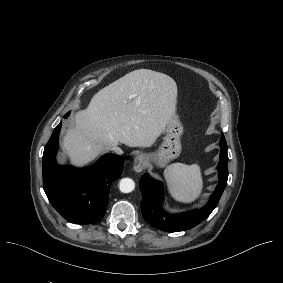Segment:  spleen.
<instances>
[{
  "label": "spleen",
  "mask_w": 283,
  "mask_h": 283,
  "mask_svg": "<svg viewBox=\"0 0 283 283\" xmlns=\"http://www.w3.org/2000/svg\"><path fill=\"white\" fill-rule=\"evenodd\" d=\"M171 196L184 203L196 200L203 187L200 167L197 164L173 163L164 171Z\"/></svg>",
  "instance_id": "spleen-1"
}]
</instances>
